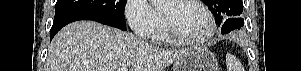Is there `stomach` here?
<instances>
[{"mask_svg":"<svg viewBox=\"0 0 301 71\" xmlns=\"http://www.w3.org/2000/svg\"><path fill=\"white\" fill-rule=\"evenodd\" d=\"M173 71H218V61L208 49L195 48L173 63Z\"/></svg>","mask_w":301,"mask_h":71,"instance_id":"1","label":"stomach"}]
</instances>
